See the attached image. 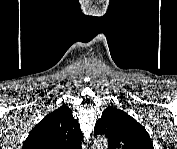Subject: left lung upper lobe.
Here are the masks:
<instances>
[{
	"label": "left lung upper lobe",
	"instance_id": "1",
	"mask_svg": "<svg viewBox=\"0 0 177 149\" xmlns=\"http://www.w3.org/2000/svg\"><path fill=\"white\" fill-rule=\"evenodd\" d=\"M94 133L109 139V149H154L145 128L115 107H107L96 122Z\"/></svg>",
	"mask_w": 177,
	"mask_h": 149
}]
</instances>
